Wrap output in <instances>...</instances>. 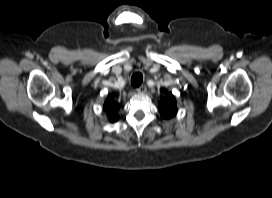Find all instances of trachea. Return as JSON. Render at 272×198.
Wrapping results in <instances>:
<instances>
[{
  "label": "trachea",
  "mask_w": 272,
  "mask_h": 198,
  "mask_svg": "<svg viewBox=\"0 0 272 198\" xmlns=\"http://www.w3.org/2000/svg\"><path fill=\"white\" fill-rule=\"evenodd\" d=\"M143 75L140 72L134 73L131 77V84L133 87H139L142 84Z\"/></svg>",
  "instance_id": "1"
}]
</instances>
